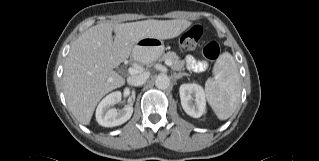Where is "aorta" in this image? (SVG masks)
Instances as JSON below:
<instances>
[{"label": "aorta", "instance_id": "aorta-1", "mask_svg": "<svg viewBox=\"0 0 319 161\" xmlns=\"http://www.w3.org/2000/svg\"><path fill=\"white\" fill-rule=\"evenodd\" d=\"M155 85L158 89L165 90L170 85V78L165 74H160L155 80Z\"/></svg>", "mask_w": 319, "mask_h": 161}]
</instances>
